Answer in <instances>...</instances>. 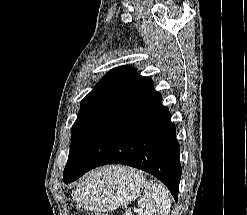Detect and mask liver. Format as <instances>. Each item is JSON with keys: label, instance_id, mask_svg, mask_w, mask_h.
<instances>
[{"label": "liver", "instance_id": "obj_1", "mask_svg": "<svg viewBox=\"0 0 247 215\" xmlns=\"http://www.w3.org/2000/svg\"><path fill=\"white\" fill-rule=\"evenodd\" d=\"M127 170V168H125V167H123V168H121V171L122 172H124V171H126ZM112 177L111 178H113V175H111ZM115 176V175H114Z\"/></svg>", "mask_w": 247, "mask_h": 215}]
</instances>
